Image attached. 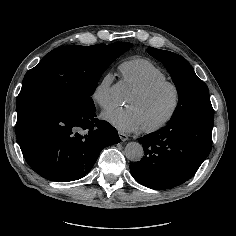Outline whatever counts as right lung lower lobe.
<instances>
[{
  "mask_svg": "<svg viewBox=\"0 0 236 236\" xmlns=\"http://www.w3.org/2000/svg\"><path fill=\"white\" fill-rule=\"evenodd\" d=\"M16 137L29 166L59 182L84 177L101 150L120 142L117 130L95 118V106H46L17 119Z\"/></svg>",
  "mask_w": 236,
  "mask_h": 236,
  "instance_id": "98d812e1",
  "label": "right lung lower lobe"
}]
</instances>
